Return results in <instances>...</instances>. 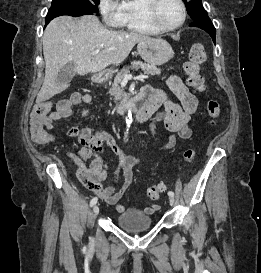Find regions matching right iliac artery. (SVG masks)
<instances>
[{
  "instance_id": "1",
  "label": "right iliac artery",
  "mask_w": 261,
  "mask_h": 273,
  "mask_svg": "<svg viewBox=\"0 0 261 273\" xmlns=\"http://www.w3.org/2000/svg\"><path fill=\"white\" fill-rule=\"evenodd\" d=\"M97 201H98V198H97V197H94V198L91 200V202H90V206L95 205V204L97 203Z\"/></svg>"
}]
</instances>
